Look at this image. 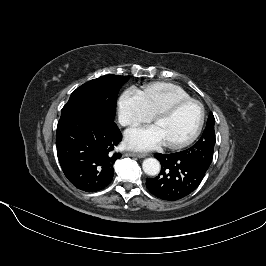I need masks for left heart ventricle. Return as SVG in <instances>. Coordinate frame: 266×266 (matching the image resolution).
Wrapping results in <instances>:
<instances>
[{"mask_svg":"<svg viewBox=\"0 0 266 266\" xmlns=\"http://www.w3.org/2000/svg\"><path fill=\"white\" fill-rule=\"evenodd\" d=\"M200 120V108L189 103L179 108L170 116L159 119L155 126L165 143L178 142L188 138L196 129Z\"/></svg>","mask_w":266,"mask_h":266,"instance_id":"left-heart-ventricle-1","label":"left heart ventricle"}]
</instances>
